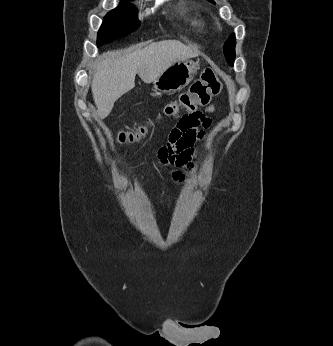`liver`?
<instances>
[{"instance_id":"6515ba94","label":"liver","mask_w":333,"mask_h":346,"mask_svg":"<svg viewBox=\"0 0 333 346\" xmlns=\"http://www.w3.org/2000/svg\"><path fill=\"white\" fill-rule=\"evenodd\" d=\"M198 55L197 49L177 40L152 43L143 49L104 53L96 61L91 85L98 116L106 118L115 101L135 87L136 74L149 84L175 62Z\"/></svg>"}]
</instances>
